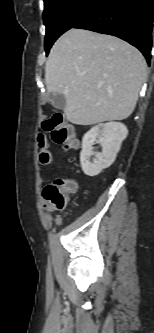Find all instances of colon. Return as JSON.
<instances>
[{
  "label": "colon",
  "instance_id": "5ec220e1",
  "mask_svg": "<svg viewBox=\"0 0 154 333\" xmlns=\"http://www.w3.org/2000/svg\"><path fill=\"white\" fill-rule=\"evenodd\" d=\"M44 132L50 134L52 140L61 145L65 150L77 148L74 127L65 122L60 114H54L42 123ZM40 164L47 165L51 161V154L47 147V142L43 134L38 137ZM76 189V184L70 179L58 178L53 183L48 184L42 194L44 206L52 211H60L65 208L69 195Z\"/></svg>",
  "mask_w": 154,
  "mask_h": 333
}]
</instances>
